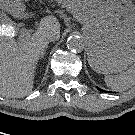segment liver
<instances>
[{"label": "liver", "instance_id": "obj_1", "mask_svg": "<svg viewBox=\"0 0 135 135\" xmlns=\"http://www.w3.org/2000/svg\"><path fill=\"white\" fill-rule=\"evenodd\" d=\"M1 1V0H0ZM16 18L26 19L33 14L23 9H9ZM54 34L60 37V23L54 16L44 17L37 30L28 37L0 35V95L20 98L32 92L34 72L39 58L47 47L45 38Z\"/></svg>", "mask_w": 135, "mask_h": 135}]
</instances>
